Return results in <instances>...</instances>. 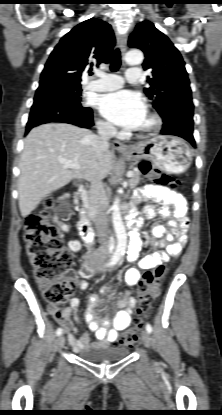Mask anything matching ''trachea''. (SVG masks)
<instances>
[{"mask_svg": "<svg viewBox=\"0 0 222 415\" xmlns=\"http://www.w3.org/2000/svg\"><path fill=\"white\" fill-rule=\"evenodd\" d=\"M120 65H121V55H120V50L117 48L111 56L110 70L117 71L120 68Z\"/></svg>", "mask_w": 222, "mask_h": 415, "instance_id": "trachea-1", "label": "trachea"}]
</instances>
